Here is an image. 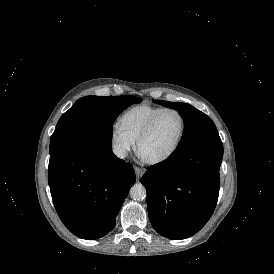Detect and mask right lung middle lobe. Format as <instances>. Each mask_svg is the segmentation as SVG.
Here are the masks:
<instances>
[{"label": "right lung middle lobe", "mask_w": 274, "mask_h": 274, "mask_svg": "<svg viewBox=\"0 0 274 274\" xmlns=\"http://www.w3.org/2000/svg\"><path fill=\"white\" fill-rule=\"evenodd\" d=\"M134 96H86L59 119L50 139V155L94 135L111 136L115 119L128 106L139 103Z\"/></svg>", "instance_id": "dd1d6c3e"}]
</instances>
